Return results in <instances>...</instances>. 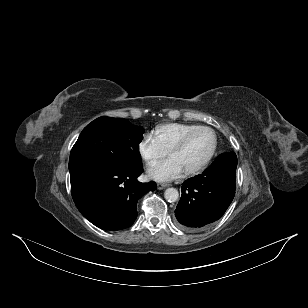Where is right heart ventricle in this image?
I'll list each match as a JSON object with an SVG mask.
<instances>
[{"mask_svg": "<svg viewBox=\"0 0 308 308\" xmlns=\"http://www.w3.org/2000/svg\"><path fill=\"white\" fill-rule=\"evenodd\" d=\"M200 125L192 123L170 122L156 126L152 135L158 144L165 150L174 145L185 133Z\"/></svg>", "mask_w": 308, "mask_h": 308, "instance_id": "1", "label": "right heart ventricle"}]
</instances>
